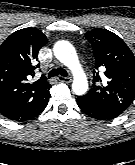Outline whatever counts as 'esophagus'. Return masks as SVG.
Returning <instances> with one entry per match:
<instances>
[{
    "label": "esophagus",
    "instance_id": "34e87169",
    "mask_svg": "<svg viewBox=\"0 0 135 165\" xmlns=\"http://www.w3.org/2000/svg\"><path fill=\"white\" fill-rule=\"evenodd\" d=\"M57 79L60 82H65V83H70L72 81V79L70 77H63V76H59Z\"/></svg>",
    "mask_w": 135,
    "mask_h": 165
}]
</instances>
